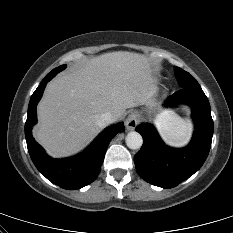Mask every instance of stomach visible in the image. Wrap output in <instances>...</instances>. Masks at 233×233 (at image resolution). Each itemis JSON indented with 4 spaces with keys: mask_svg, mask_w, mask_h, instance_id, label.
I'll use <instances>...</instances> for the list:
<instances>
[{
    "mask_svg": "<svg viewBox=\"0 0 233 233\" xmlns=\"http://www.w3.org/2000/svg\"><path fill=\"white\" fill-rule=\"evenodd\" d=\"M156 107L157 104L154 101L148 102L144 104L143 110L140 113L150 115L152 112L156 110Z\"/></svg>",
    "mask_w": 233,
    "mask_h": 233,
    "instance_id": "1",
    "label": "stomach"
}]
</instances>
